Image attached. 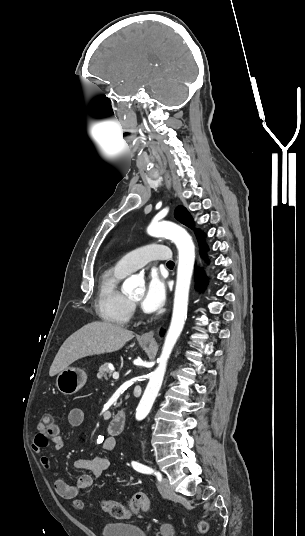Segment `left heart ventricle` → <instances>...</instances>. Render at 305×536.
<instances>
[{
    "label": "left heart ventricle",
    "mask_w": 305,
    "mask_h": 536,
    "mask_svg": "<svg viewBox=\"0 0 305 536\" xmlns=\"http://www.w3.org/2000/svg\"><path fill=\"white\" fill-rule=\"evenodd\" d=\"M141 298H142V292H140L139 294L131 297L132 300L137 301V302L140 301Z\"/></svg>",
    "instance_id": "obj_1"
}]
</instances>
